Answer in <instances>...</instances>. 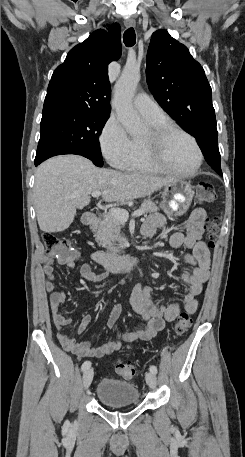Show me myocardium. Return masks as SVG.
<instances>
[{
	"instance_id": "obj_1",
	"label": "myocardium",
	"mask_w": 245,
	"mask_h": 457,
	"mask_svg": "<svg viewBox=\"0 0 245 457\" xmlns=\"http://www.w3.org/2000/svg\"><path fill=\"white\" fill-rule=\"evenodd\" d=\"M150 134L155 138L158 144H165L167 139L169 138L170 135L174 133H180L186 136L190 142L192 143V148L196 154V164L193 169L189 171H179L175 170L172 168H169L167 166L162 165L161 163L157 162L152 158L149 152V146L148 142L145 138H140L139 139V151L142 159L144 162L149 165L152 169L172 175H178V176H190L193 175L198 171L202 164L203 160V155L202 152L198 146L197 140L186 130L181 128L180 126L173 124L171 122H166V123H161L157 125H153L149 129Z\"/></svg>"
}]
</instances>
